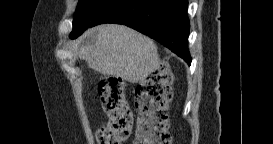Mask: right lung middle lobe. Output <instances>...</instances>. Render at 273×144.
I'll return each mask as SVG.
<instances>
[{"mask_svg": "<svg viewBox=\"0 0 273 144\" xmlns=\"http://www.w3.org/2000/svg\"><path fill=\"white\" fill-rule=\"evenodd\" d=\"M110 1L112 0H79L70 38L75 39L81 35L89 27L91 20Z\"/></svg>", "mask_w": 273, "mask_h": 144, "instance_id": "right-lung-middle-lobe-1", "label": "right lung middle lobe"}]
</instances>
